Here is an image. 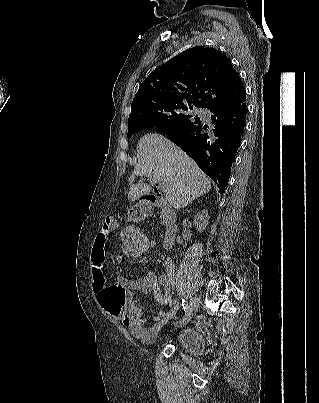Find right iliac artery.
I'll list each match as a JSON object with an SVG mask.
<instances>
[{
  "instance_id": "right-iliac-artery-1",
  "label": "right iliac artery",
  "mask_w": 319,
  "mask_h": 403,
  "mask_svg": "<svg viewBox=\"0 0 319 403\" xmlns=\"http://www.w3.org/2000/svg\"><path fill=\"white\" fill-rule=\"evenodd\" d=\"M182 307L185 312L188 311L189 306H188V303L185 301V299H182Z\"/></svg>"
}]
</instances>
